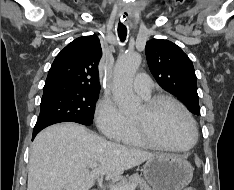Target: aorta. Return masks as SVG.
I'll use <instances>...</instances> for the list:
<instances>
[{
	"label": "aorta",
	"mask_w": 234,
	"mask_h": 190,
	"mask_svg": "<svg viewBox=\"0 0 234 190\" xmlns=\"http://www.w3.org/2000/svg\"><path fill=\"white\" fill-rule=\"evenodd\" d=\"M141 57L136 52L122 54L114 68L113 96L124 114H131L139 106V98L132 89L133 77L139 68Z\"/></svg>",
	"instance_id": "762f6f07"
}]
</instances>
